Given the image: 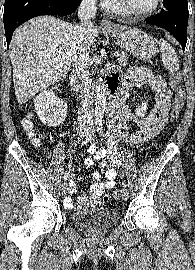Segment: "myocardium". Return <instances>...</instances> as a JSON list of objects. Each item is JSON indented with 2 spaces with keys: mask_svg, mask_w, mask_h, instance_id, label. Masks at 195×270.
<instances>
[{
  "mask_svg": "<svg viewBox=\"0 0 195 270\" xmlns=\"http://www.w3.org/2000/svg\"><path fill=\"white\" fill-rule=\"evenodd\" d=\"M122 9L127 12L130 15L136 16V17H147L150 16L152 14H154L155 12H157L159 10V8L161 7V3L162 0H155V4L148 10H143V11H139V10H135L134 8H132L126 0H118Z\"/></svg>",
  "mask_w": 195,
  "mask_h": 270,
  "instance_id": "myocardium-1",
  "label": "myocardium"
}]
</instances>
